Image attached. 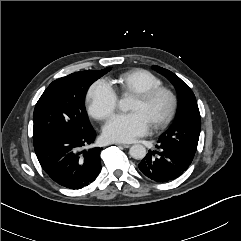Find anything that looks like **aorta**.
Listing matches in <instances>:
<instances>
[{"label": "aorta", "instance_id": "aorta-1", "mask_svg": "<svg viewBox=\"0 0 241 241\" xmlns=\"http://www.w3.org/2000/svg\"><path fill=\"white\" fill-rule=\"evenodd\" d=\"M119 107L122 111H128L131 108V101L129 98H123L119 101ZM129 153L134 159H143L146 156V148L141 144L131 146Z\"/></svg>", "mask_w": 241, "mask_h": 241}]
</instances>
